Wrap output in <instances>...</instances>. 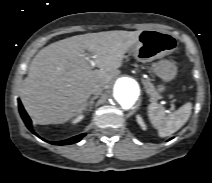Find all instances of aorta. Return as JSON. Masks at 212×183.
Returning <instances> with one entry per match:
<instances>
[{"label": "aorta", "mask_w": 212, "mask_h": 183, "mask_svg": "<svg viewBox=\"0 0 212 183\" xmlns=\"http://www.w3.org/2000/svg\"><path fill=\"white\" fill-rule=\"evenodd\" d=\"M140 86L130 77L118 78L113 86V100L116 106L129 110L134 107L140 98Z\"/></svg>", "instance_id": "1"}]
</instances>
